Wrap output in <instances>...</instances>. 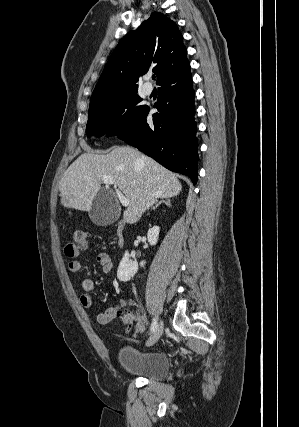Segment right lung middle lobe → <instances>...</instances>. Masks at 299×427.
<instances>
[{
    "label": "right lung middle lobe",
    "instance_id": "1",
    "mask_svg": "<svg viewBox=\"0 0 299 427\" xmlns=\"http://www.w3.org/2000/svg\"><path fill=\"white\" fill-rule=\"evenodd\" d=\"M141 100L134 91L90 103L86 134L117 136L129 131L148 109L145 105L138 106Z\"/></svg>",
    "mask_w": 299,
    "mask_h": 427
}]
</instances>
